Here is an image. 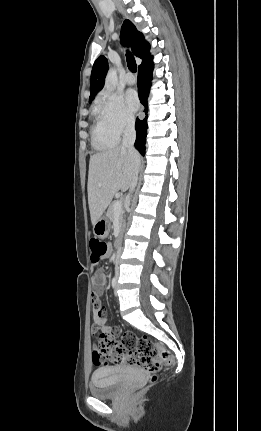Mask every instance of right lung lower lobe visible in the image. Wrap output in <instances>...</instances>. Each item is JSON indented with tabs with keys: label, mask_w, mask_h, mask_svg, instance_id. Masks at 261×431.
Masks as SVG:
<instances>
[{
	"label": "right lung lower lobe",
	"mask_w": 261,
	"mask_h": 431,
	"mask_svg": "<svg viewBox=\"0 0 261 431\" xmlns=\"http://www.w3.org/2000/svg\"><path fill=\"white\" fill-rule=\"evenodd\" d=\"M154 68L153 57H149L139 66L138 71V87H139V98L141 103L147 108V97L149 94L150 81L152 79V71ZM147 113V109L145 110ZM136 141L135 147L139 152L145 154V143L147 135V116L143 120H136Z\"/></svg>",
	"instance_id": "98d812e1"
}]
</instances>
